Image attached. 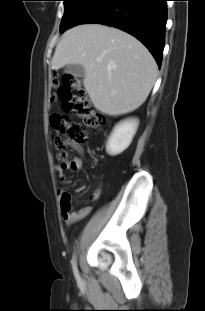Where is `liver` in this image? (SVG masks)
Listing matches in <instances>:
<instances>
[{"instance_id": "liver-1", "label": "liver", "mask_w": 205, "mask_h": 311, "mask_svg": "<svg viewBox=\"0 0 205 311\" xmlns=\"http://www.w3.org/2000/svg\"><path fill=\"white\" fill-rule=\"evenodd\" d=\"M51 64L53 69L82 65L83 84L91 102L111 116L141 106L157 78V64L140 41L122 30L96 23L67 31Z\"/></svg>"}]
</instances>
